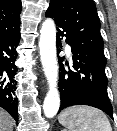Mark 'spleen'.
Segmentation results:
<instances>
[{
	"mask_svg": "<svg viewBox=\"0 0 117 131\" xmlns=\"http://www.w3.org/2000/svg\"><path fill=\"white\" fill-rule=\"evenodd\" d=\"M59 123L68 131H112L107 116L90 106H72L58 117Z\"/></svg>",
	"mask_w": 117,
	"mask_h": 131,
	"instance_id": "1",
	"label": "spleen"
}]
</instances>
